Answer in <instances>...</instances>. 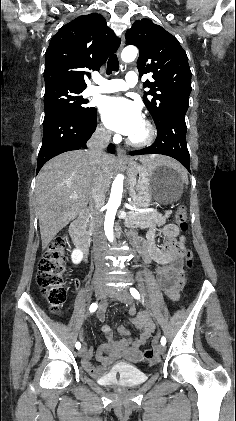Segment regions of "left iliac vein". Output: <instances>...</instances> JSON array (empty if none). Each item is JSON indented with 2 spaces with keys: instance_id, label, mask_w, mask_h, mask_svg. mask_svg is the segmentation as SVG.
<instances>
[{
  "instance_id": "1",
  "label": "left iliac vein",
  "mask_w": 236,
  "mask_h": 421,
  "mask_svg": "<svg viewBox=\"0 0 236 421\" xmlns=\"http://www.w3.org/2000/svg\"><path fill=\"white\" fill-rule=\"evenodd\" d=\"M106 291L109 297H113L123 303L131 304L133 302L131 294L128 292V290L124 288H120L118 290L113 288H107ZM153 347L160 354H163L165 351L164 346L157 340L153 342Z\"/></svg>"
}]
</instances>
